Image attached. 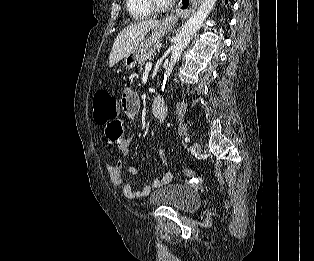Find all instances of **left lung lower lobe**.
<instances>
[{"label":"left lung lower lobe","instance_id":"0a47b994","mask_svg":"<svg viewBox=\"0 0 314 261\" xmlns=\"http://www.w3.org/2000/svg\"><path fill=\"white\" fill-rule=\"evenodd\" d=\"M228 0H225V3L227 4Z\"/></svg>","mask_w":314,"mask_h":261}]
</instances>
